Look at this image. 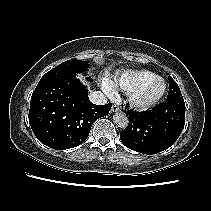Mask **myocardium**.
<instances>
[{"label":"myocardium","instance_id":"f54148a6","mask_svg":"<svg viewBox=\"0 0 211 211\" xmlns=\"http://www.w3.org/2000/svg\"><path fill=\"white\" fill-rule=\"evenodd\" d=\"M159 82L162 85L161 91L152 98L142 99L143 93L154 83ZM167 90L166 82L161 77H156L152 80H149L135 89L133 92L129 94V102L130 104L137 109L146 110L149 109L160 102L163 98Z\"/></svg>","mask_w":211,"mask_h":211}]
</instances>
